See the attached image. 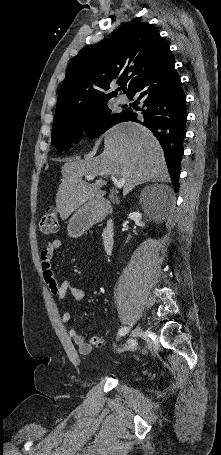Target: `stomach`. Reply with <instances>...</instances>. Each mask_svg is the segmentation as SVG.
Here are the masks:
<instances>
[{
    "label": "stomach",
    "mask_w": 221,
    "mask_h": 455,
    "mask_svg": "<svg viewBox=\"0 0 221 455\" xmlns=\"http://www.w3.org/2000/svg\"><path fill=\"white\" fill-rule=\"evenodd\" d=\"M101 201L91 200L80 207L71 216L67 224L68 235L72 238L80 237L102 215Z\"/></svg>",
    "instance_id": "1"
}]
</instances>
